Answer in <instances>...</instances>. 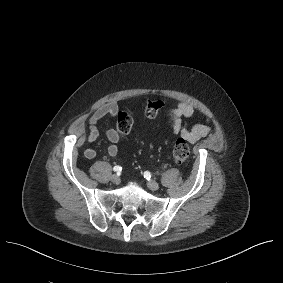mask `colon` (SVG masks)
Returning a JSON list of instances; mask_svg holds the SVG:
<instances>
[{
    "label": "colon",
    "mask_w": 283,
    "mask_h": 283,
    "mask_svg": "<svg viewBox=\"0 0 283 283\" xmlns=\"http://www.w3.org/2000/svg\"><path fill=\"white\" fill-rule=\"evenodd\" d=\"M164 103L162 100H150L145 107V115L147 118H154L161 111ZM133 115L130 110L119 112L117 117L116 130L120 136L128 135L133 127ZM173 159L176 163L182 164L186 162L190 155V149L184 139H178L173 148Z\"/></svg>",
    "instance_id": "5ec220e1"
}]
</instances>
